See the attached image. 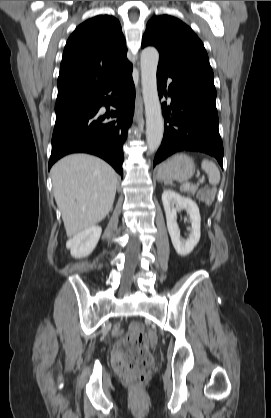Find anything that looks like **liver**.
Wrapping results in <instances>:
<instances>
[{"instance_id":"liver-1","label":"liver","mask_w":271,"mask_h":418,"mask_svg":"<svg viewBox=\"0 0 271 418\" xmlns=\"http://www.w3.org/2000/svg\"><path fill=\"white\" fill-rule=\"evenodd\" d=\"M53 192L68 237L95 226L112 209L117 173L88 154L62 158L51 169Z\"/></svg>"}]
</instances>
